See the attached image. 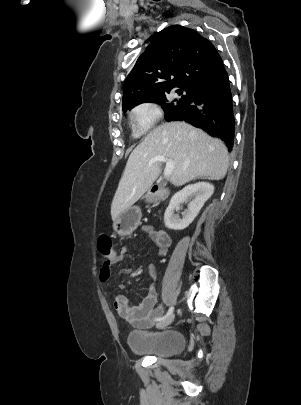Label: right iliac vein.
Segmentation results:
<instances>
[{"label":"right iliac vein","mask_w":301,"mask_h":405,"mask_svg":"<svg viewBox=\"0 0 301 405\" xmlns=\"http://www.w3.org/2000/svg\"><path fill=\"white\" fill-rule=\"evenodd\" d=\"M173 319H174V315L171 314V315L168 316L167 318H165V319L159 321V322L156 324V327H157V328H165V327H167L169 324L172 323Z\"/></svg>","instance_id":"right-iliac-vein-1"}]
</instances>
